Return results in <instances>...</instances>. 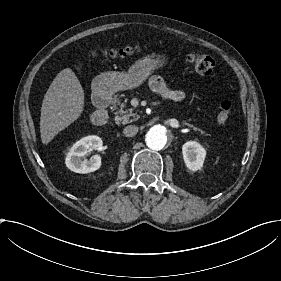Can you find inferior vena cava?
Listing matches in <instances>:
<instances>
[{"mask_svg":"<svg viewBox=\"0 0 281 281\" xmlns=\"http://www.w3.org/2000/svg\"><path fill=\"white\" fill-rule=\"evenodd\" d=\"M137 132H138V127L135 125H129L123 129V133L126 137H133L134 135L137 134Z\"/></svg>","mask_w":281,"mask_h":281,"instance_id":"602c4592","label":"inferior vena cava"}]
</instances>
